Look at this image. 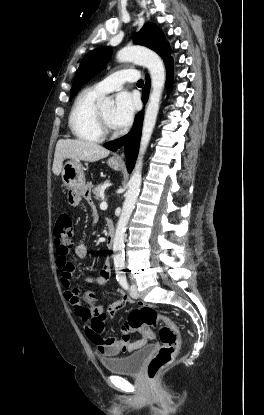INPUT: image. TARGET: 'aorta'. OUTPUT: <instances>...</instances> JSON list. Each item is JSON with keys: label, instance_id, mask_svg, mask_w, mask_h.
Instances as JSON below:
<instances>
[{"label": "aorta", "instance_id": "aorta-1", "mask_svg": "<svg viewBox=\"0 0 264 415\" xmlns=\"http://www.w3.org/2000/svg\"><path fill=\"white\" fill-rule=\"evenodd\" d=\"M116 58L119 62H135L145 66L149 70L151 76V93L143 122L139 155L128 183V190L125 195L122 213L113 240L114 266L115 268L120 269L125 265L124 240L126 226L140 192L143 155L155 127L161 94L165 83V68L161 58L155 52L141 46L125 47L118 51ZM98 103L102 107H111L113 105V101L109 97H101Z\"/></svg>", "mask_w": 264, "mask_h": 415}]
</instances>
